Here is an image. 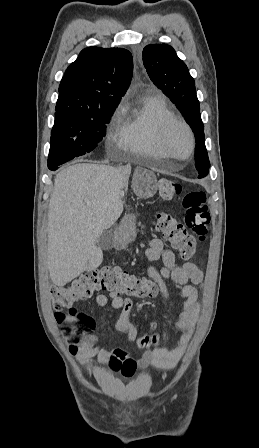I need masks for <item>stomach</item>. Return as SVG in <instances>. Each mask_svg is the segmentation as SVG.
Returning a JSON list of instances; mask_svg holds the SVG:
<instances>
[{
	"label": "stomach",
	"instance_id": "0dacf381",
	"mask_svg": "<svg viewBox=\"0 0 259 448\" xmlns=\"http://www.w3.org/2000/svg\"><path fill=\"white\" fill-rule=\"evenodd\" d=\"M137 215L135 212H128L126 218L120 222V226L116 228V236L123 244H130L136 238L135 220Z\"/></svg>",
	"mask_w": 259,
	"mask_h": 448
}]
</instances>
